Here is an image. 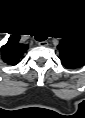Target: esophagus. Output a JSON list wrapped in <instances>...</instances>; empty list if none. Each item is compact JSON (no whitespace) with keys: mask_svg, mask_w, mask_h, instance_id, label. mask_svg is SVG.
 I'll use <instances>...</instances> for the list:
<instances>
[{"mask_svg":"<svg viewBox=\"0 0 85 118\" xmlns=\"http://www.w3.org/2000/svg\"><path fill=\"white\" fill-rule=\"evenodd\" d=\"M39 45L40 46H47L48 42L47 41H42V42H39Z\"/></svg>","mask_w":85,"mask_h":118,"instance_id":"34e87169","label":"esophagus"}]
</instances>
